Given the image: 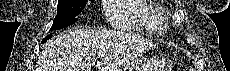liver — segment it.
I'll return each instance as SVG.
<instances>
[{"instance_id":"obj_1","label":"liver","mask_w":230,"mask_h":71,"mask_svg":"<svg viewBox=\"0 0 230 71\" xmlns=\"http://www.w3.org/2000/svg\"><path fill=\"white\" fill-rule=\"evenodd\" d=\"M155 45L139 36L107 30L74 29L50 40L38 58L36 71H120ZM98 53H103L98 57Z\"/></svg>"}]
</instances>
